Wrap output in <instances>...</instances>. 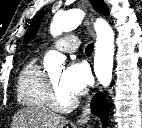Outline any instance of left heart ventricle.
Instances as JSON below:
<instances>
[{
    "instance_id": "left-heart-ventricle-1",
    "label": "left heart ventricle",
    "mask_w": 142,
    "mask_h": 128,
    "mask_svg": "<svg viewBox=\"0 0 142 128\" xmlns=\"http://www.w3.org/2000/svg\"><path fill=\"white\" fill-rule=\"evenodd\" d=\"M60 77H61V71L54 72L50 75V78L52 79L54 85L58 89L60 100L62 102H66L69 98H71V96L68 95L66 92H64L62 88L60 87V84H59Z\"/></svg>"
}]
</instances>
